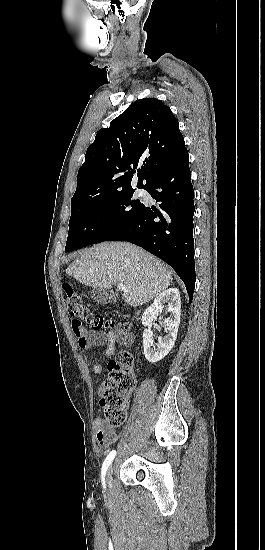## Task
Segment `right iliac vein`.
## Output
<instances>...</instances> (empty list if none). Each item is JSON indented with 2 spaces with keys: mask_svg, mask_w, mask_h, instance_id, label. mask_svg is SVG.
Returning <instances> with one entry per match:
<instances>
[{
  "mask_svg": "<svg viewBox=\"0 0 265 550\" xmlns=\"http://www.w3.org/2000/svg\"><path fill=\"white\" fill-rule=\"evenodd\" d=\"M111 473H112V469L110 468V469L107 471V474H106V479H107V480L110 479Z\"/></svg>",
  "mask_w": 265,
  "mask_h": 550,
  "instance_id": "obj_1",
  "label": "right iliac vein"
}]
</instances>
